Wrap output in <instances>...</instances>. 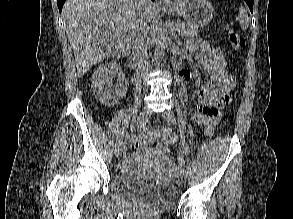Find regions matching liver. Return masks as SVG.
I'll return each mask as SVG.
<instances>
[{
	"label": "liver",
	"mask_w": 293,
	"mask_h": 219,
	"mask_svg": "<svg viewBox=\"0 0 293 219\" xmlns=\"http://www.w3.org/2000/svg\"><path fill=\"white\" fill-rule=\"evenodd\" d=\"M154 9L150 1L148 6L140 9L146 26L154 16ZM138 12L136 0L65 2L62 15L74 51L78 77L104 59L130 53Z\"/></svg>",
	"instance_id": "obj_1"
}]
</instances>
